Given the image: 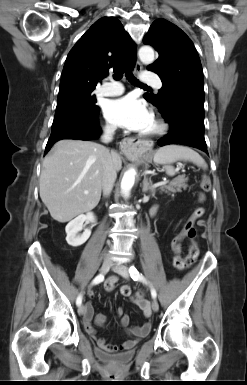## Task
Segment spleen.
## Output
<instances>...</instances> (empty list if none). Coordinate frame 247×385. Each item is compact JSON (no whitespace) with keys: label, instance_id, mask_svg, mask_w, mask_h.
<instances>
[{"label":"spleen","instance_id":"obj_1","mask_svg":"<svg viewBox=\"0 0 247 385\" xmlns=\"http://www.w3.org/2000/svg\"><path fill=\"white\" fill-rule=\"evenodd\" d=\"M156 164L164 165L166 173L169 176L175 174V169L171 164L176 161L192 162L197 166L207 168V164L204 159L192 148L182 145H166L159 148L153 158Z\"/></svg>","mask_w":247,"mask_h":385}]
</instances>
